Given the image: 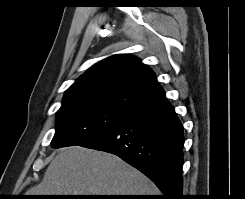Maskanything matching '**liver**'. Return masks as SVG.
I'll use <instances>...</instances> for the list:
<instances>
[{"mask_svg": "<svg viewBox=\"0 0 245 199\" xmlns=\"http://www.w3.org/2000/svg\"><path fill=\"white\" fill-rule=\"evenodd\" d=\"M159 190L141 172L119 157L73 146L62 149L40 184L26 195H157Z\"/></svg>", "mask_w": 245, "mask_h": 199, "instance_id": "liver-1", "label": "liver"}]
</instances>
